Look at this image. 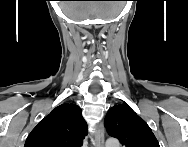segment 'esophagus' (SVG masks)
Returning a JSON list of instances; mask_svg holds the SVG:
<instances>
[{"label":"esophagus","mask_w":188,"mask_h":147,"mask_svg":"<svg viewBox=\"0 0 188 147\" xmlns=\"http://www.w3.org/2000/svg\"><path fill=\"white\" fill-rule=\"evenodd\" d=\"M94 147H104V126L102 123L96 127Z\"/></svg>","instance_id":"obj_1"}]
</instances>
